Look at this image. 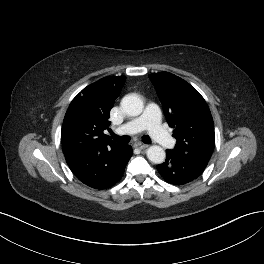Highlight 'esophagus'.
<instances>
[{
	"mask_svg": "<svg viewBox=\"0 0 264 264\" xmlns=\"http://www.w3.org/2000/svg\"><path fill=\"white\" fill-rule=\"evenodd\" d=\"M134 147L135 148H138L140 150H146L148 148V145L147 144H144V143H141V142H136L134 144Z\"/></svg>",
	"mask_w": 264,
	"mask_h": 264,
	"instance_id": "1",
	"label": "esophagus"
}]
</instances>
